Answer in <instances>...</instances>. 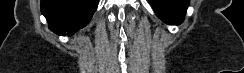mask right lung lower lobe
I'll use <instances>...</instances> for the list:
<instances>
[{
  "mask_svg": "<svg viewBox=\"0 0 244 73\" xmlns=\"http://www.w3.org/2000/svg\"><path fill=\"white\" fill-rule=\"evenodd\" d=\"M98 6V0H41V12L49 28L58 35H72L86 26Z\"/></svg>",
  "mask_w": 244,
  "mask_h": 73,
  "instance_id": "1",
  "label": "right lung lower lobe"
}]
</instances>
